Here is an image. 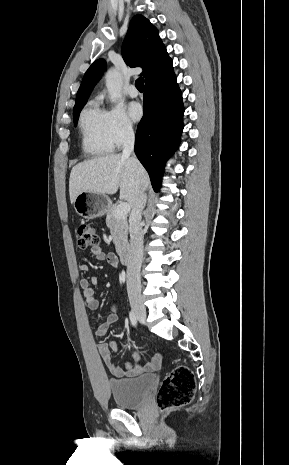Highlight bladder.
<instances>
[{
  "mask_svg": "<svg viewBox=\"0 0 289 465\" xmlns=\"http://www.w3.org/2000/svg\"><path fill=\"white\" fill-rule=\"evenodd\" d=\"M155 379L153 374L133 378L110 379L108 385L116 406L122 409L141 407L145 403Z\"/></svg>",
  "mask_w": 289,
  "mask_h": 465,
  "instance_id": "obj_1",
  "label": "bladder"
}]
</instances>
